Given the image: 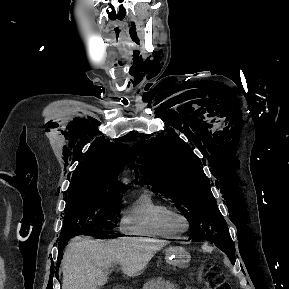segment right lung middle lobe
<instances>
[{
	"label": "right lung middle lobe",
	"mask_w": 289,
	"mask_h": 289,
	"mask_svg": "<svg viewBox=\"0 0 289 289\" xmlns=\"http://www.w3.org/2000/svg\"><path fill=\"white\" fill-rule=\"evenodd\" d=\"M121 199L122 195L118 194L68 198L59 242L67 243L77 235L112 237L109 230L115 226L109 219L113 213L120 211Z\"/></svg>",
	"instance_id": "obj_1"
}]
</instances>
